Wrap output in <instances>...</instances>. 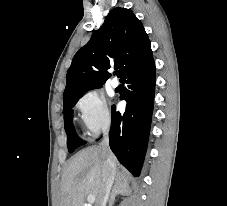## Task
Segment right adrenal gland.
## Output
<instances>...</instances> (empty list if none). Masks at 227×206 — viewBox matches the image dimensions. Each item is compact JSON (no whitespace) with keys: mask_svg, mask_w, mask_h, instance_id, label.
<instances>
[{"mask_svg":"<svg viewBox=\"0 0 227 206\" xmlns=\"http://www.w3.org/2000/svg\"><path fill=\"white\" fill-rule=\"evenodd\" d=\"M125 192V190H118V188L115 186L112 190L111 193V197H110V201H109V206H113L114 205V201H115V197L118 194H123Z\"/></svg>","mask_w":227,"mask_h":206,"instance_id":"1","label":"right adrenal gland"}]
</instances>
